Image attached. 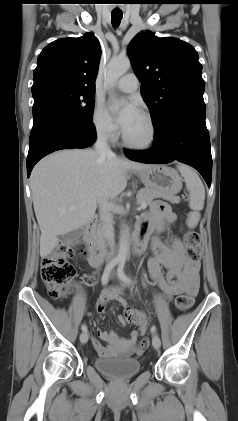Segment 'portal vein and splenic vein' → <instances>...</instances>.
Wrapping results in <instances>:
<instances>
[{
	"label": "portal vein and splenic vein",
	"mask_w": 238,
	"mask_h": 421,
	"mask_svg": "<svg viewBox=\"0 0 238 421\" xmlns=\"http://www.w3.org/2000/svg\"><path fill=\"white\" fill-rule=\"evenodd\" d=\"M147 207V205L146 204H141L140 205V207H139V210H143V209H145ZM72 209H75L76 208V206H72L71 207Z\"/></svg>",
	"instance_id": "1"
}]
</instances>
